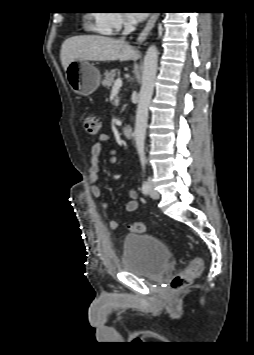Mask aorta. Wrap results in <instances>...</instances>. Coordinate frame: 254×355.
Listing matches in <instances>:
<instances>
[{
  "mask_svg": "<svg viewBox=\"0 0 254 355\" xmlns=\"http://www.w3.org/2000/svg\"><path fill=\"white\" fill-rule=\"evenodd\" d=\"M158 49L151 45L145 54L143 63L142 83L135 122V144L140 157L145 155V138L148 121V109L152 99L157 73Z\"/></svg>",
  "mask_w": 254,
  "mask_h": 355,
  "instance_id": "aorta-1",
  "label": "aorta"
}]
</instances>
